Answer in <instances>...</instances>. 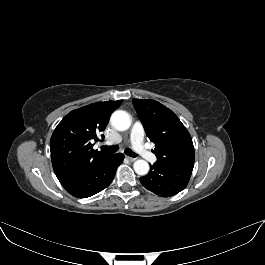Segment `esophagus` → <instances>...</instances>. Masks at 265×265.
Segmentation results:
<instances>
[{"instance_id": "34e87169", "label": "esophagus", "mask_w": 265, "mask_h": 265, "mask_svg": "<svg viewBox=\"0 0 265 265\" xmlns=\"http://www.w3.org/2000/svg\"><path fill=\"white\" fill-rule=\"evenodd\" d=\"M129 161L133 162L136 160V158H133V157H127Z\"/></svg>"}]
</instances>
